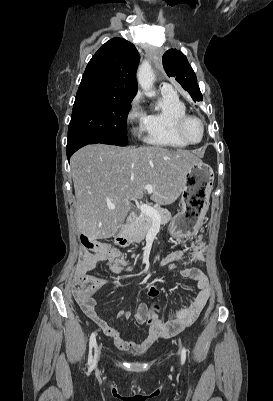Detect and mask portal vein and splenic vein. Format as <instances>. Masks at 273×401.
<instances>
[{
  "instance_id": "1",
  "label": "portal vein and splenic vein",
  "mask_w": 273,
  "mask_h": 401,
  "mask_svg": "<svg viewBox=\"0 0 273 401\" xmlns=\"http://www.w3.org/2000/svg\"><path fill=\"white\" fill-rule=\"evenodd\" d=\"M144 190H147L148 194H151L153 192V186L152 184H146L144 186ZM109 209H115V205H111ZM140 211L141 213H144V215H148V217H152L153 221H157V223H160L161 221V215H159L158 211L156 209H153V207H148V205H140Z\"/></svg>"
}]
</instances>
